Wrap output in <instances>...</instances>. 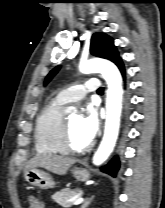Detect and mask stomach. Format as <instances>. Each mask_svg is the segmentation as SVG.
Masks as SVG:
<instances>
[{
  "instance_id": "stomach-1",
  "label": "stomach",
  "mask_w": 165,
  "mask_h": 208,
  "mask_svg": "<svg viewBox=\"0 0 165 208\" xmlns=\"http://www.w3.org/2000/svg\"><path fill=\"white\" fill-rule=\"evenodd\" d=\"M71 171L78 181L89 179L90 175L85 169L75 167ZM24 178L30 185L39 187L40 189H51L55 186L52 177L38 168H31L25 171Z\"/></svg>"
}]
</instances>
